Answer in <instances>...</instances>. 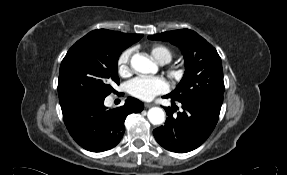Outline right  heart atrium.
I'll return each instance as SVG.
<instances>
[{
  "mask_svg": "<svg viewBox=\"0 0 287 175\" xmlns=\"http://www.w3.org/2000/svg\"><path fill=\"white\" fill-rule=\"evenodd\" d=\"M133 53V49L129 48L121 52L117 59V71L118 73L126 77L131 73L130 60Z\"/></svg>",
  "mask_w": 287,
  "mask_h": 175,
  "instance_id": "1",
  "label": "right heart atrium"
}]
</instances>
